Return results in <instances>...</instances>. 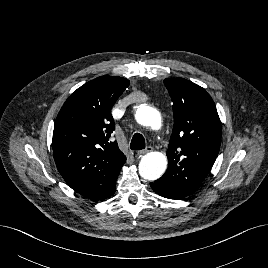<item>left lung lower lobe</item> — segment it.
Masks as SVG:
<instances>
[{"instance_id":"left-lung-lower-lobe-1","label":"left lung lower lobe","mask_w":268,"mask_h":268,"mask_svg":"<svg viewBox=\"0 0 268 268\" xmlns=\"http://www.w3.org/2000/svg\"><path fill=\"white\" fill-rule=\"evenodd\" d=\"M151 187L154 190V192H156L157 194H159L165 198H169V199H182V198H184L182 196L177 195L176 193H172L166 189H163L162 187L154 185L153 183H151Z\"/></svg>"}]
</instances>
